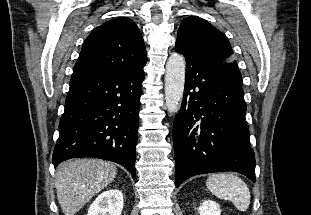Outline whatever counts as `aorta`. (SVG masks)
<instances>
[{"label":"aorta","mask_w":311,"mask_h":215,"mask_svg":"<svg viewBox=\"0 0 311 215\" xmlns=\"http://www.w3.org/2000/svg\"><path fill=\"white\" fill-rule=\"evenodd\" d=\"M186 63L183 55L173 53L166 63L165 99L169 113H177L180 109L185 84Z\"/></svg>","instance_id":"762f6f07"}]
</instances>
